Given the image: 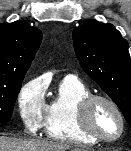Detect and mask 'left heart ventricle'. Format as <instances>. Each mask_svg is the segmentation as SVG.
Returning a JSON list of instances; mask_svg holds the SVG:
<instances>
[{
    "label": "left heart ventricle",
    "mask_w": 131,
    "mask_h": 151,
    "mask_svg": "<svg viewBox=\"0 0 131 151\" xmlns=\"http://www.w3.org/2000/svg\"><path fill=\"white\" fill-rule=\"evenodd\" d=\"M96 132L105 137H115L120 131V121L114 110L107 104L98 103L92 114Z\"/></svg>",
    "instance_id": "b2bd125f"
}]
</instances>
